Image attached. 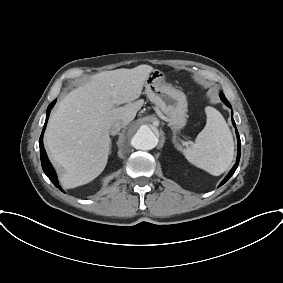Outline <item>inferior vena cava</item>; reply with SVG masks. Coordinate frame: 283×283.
<instances>
[{
    "label": "inferior vena cava",
    "instance_id": "1",
    "mask_svg": "<svg viewBox=\"0 0 283 283\" xmlns=\"http://www.w3.org/2000/svg\"><path fill=\"white\" fill-rule=\"evenodd\" d=\"M125 126L124 122L117 121L109 129L111 135L117 134Z\"/></svg>",
    "mask_w": 283,
    "mask_h": 283
}]
</instances>
